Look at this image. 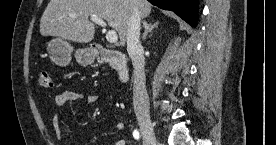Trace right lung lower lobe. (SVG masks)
I'll list each match as a JSON object with an SVG mask.
<instances>
[{"label":"right lung lower lobe","mask_w":276,"mask_h":145,"mask_svg":"<svg viewBox=\"0 0 276 145\" xmlns=\"http://www.w3.org/2000/svg\"><path fill=\"white\" fill-rule=\"evenodd\" d=\"M164 10L175 12L192 27H196L198 21V0H148Z\"/></svg>","instance_id":"obj_1"}]
</instances>
